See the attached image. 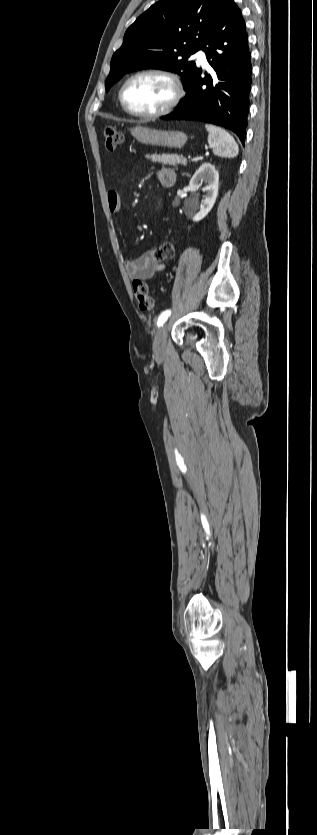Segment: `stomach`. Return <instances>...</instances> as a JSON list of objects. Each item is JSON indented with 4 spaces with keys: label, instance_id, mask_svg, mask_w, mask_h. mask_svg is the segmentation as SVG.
Wrapping results in <instances>:
<instances>
[{
    "label": "stomach",
    "instance_id": "stomach-1",
    "mask_svg": "<svg viewBox=\"0 0 317 835\" xmlns=\"http://www.w3.org/2000/svg\"><path fill=\"white\" fill-rule=\"evenodd\" d=\"M131 134L141 144L168 148H181L188 140L181 131H161L143 126L131 128Z\"/></svg>",
    "mask_w": 317,
    "mask_h": 835
}]
</instances>
